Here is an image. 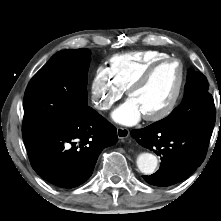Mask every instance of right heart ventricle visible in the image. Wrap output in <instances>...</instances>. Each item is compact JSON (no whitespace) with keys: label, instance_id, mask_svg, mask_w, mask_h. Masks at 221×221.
<instances>
[{"label":"right heart ventricle","instance_id":"right-heart-ventricle-1","mask_svg":"<svg viewBox=\"0 0 221 221\" xmlns=\"http://www.w3.org/2000/svg\"><path fill=\"white\" fill-rule=\"evenodd\" d=\"M170 57L158 50H141L113 55L108 70L113 79L124 89L129 86L152 63Z\"/></svg>","mask_w":221,"mask_h":221}]
</instances>
